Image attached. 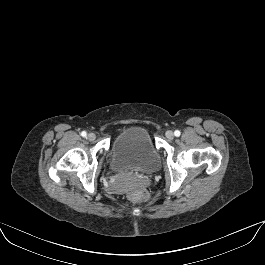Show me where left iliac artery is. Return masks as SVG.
Here are the masks:
<instances>
[{
	"label": "left iliac artery",
	"instance_id": "obj_1",
	"mask_svg": "<svg viewBox=\"0 0 265 265\" xmlns=\"http://www.w3.org/2000/svg\"><path fill=\"white\" fill-rule=\"evenodd\" d=\"M180 134H181V132H180L179 130H175L174 135H175L176 137H179Z\"/></svg>",
	"mask_w": 265,
	"mask_h": 265
}]
</instances>
